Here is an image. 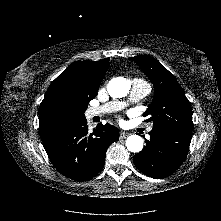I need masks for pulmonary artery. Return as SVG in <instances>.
Segmentation results:
<instances>
[{"label": "pulmonary artery", "mask_w": 221, "mask_h": 221, "mask_svg": "<svg viewBox=\"0 0 221 221\" xmlns=\"http://www.w3.org/2000/svg\"><path fill=\"white\" fill-rule=\"evenodd\" d=\"M150 91V87L147 83H142L139 81H133L131 92H130V101L137 102L141 99H143ZM125 106V103L123 102H110L104 105H101L99 107L90 108L87 112V115L89 117H94L103 113L113 112L120 110ZM148 132L152 130V127H148Z\"/></svg>", "instance_id": "1"}]
</instances>
